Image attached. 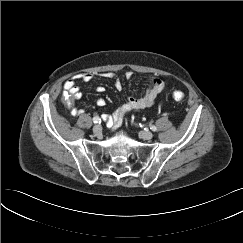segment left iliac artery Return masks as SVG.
<instances>
[{"label": "left iliac artery", "instance_id": "left-iliac-artery-1", "mask_svg": "<svg viewBox=\"0 0 243 243\" xmlns=\"http://www.w3.org/2000/svg\"><path fill=\"white\" fill-rule=\"evenodd\" d=\"M150 129H151L152 131H156V130H157L156 126H154V125H151V126H150Z\"/></svg>", "mask_w": 243, "mask_h": 243}]
</instances>
